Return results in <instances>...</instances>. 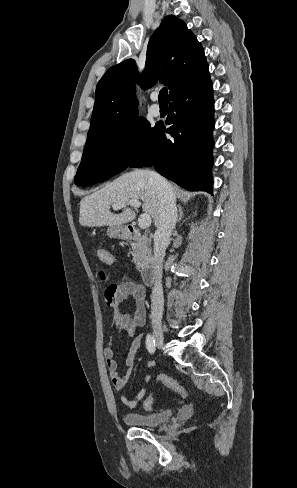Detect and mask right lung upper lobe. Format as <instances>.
<instances>
[{"mask_svg":"<svg viewBox=\"0 0 297 488\" xmlns=\"http://www.w3.org/2000/svg\"><path fill=\"white\" fill-rule=\"evenodd\" d=\"M209 74L204 50L186 24L174 15L165 17L150 38L144 73L127 59L111 67L96 87L88 137L118 128L139 118L135 83L149 88L158 79L168 86L169 100Z\"/></svg>","mask_w":297,"mask_h":488,"instance_id":"1","label":"right lung upper lobe"}]
</instances>
